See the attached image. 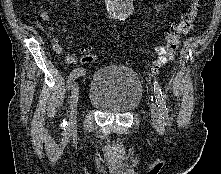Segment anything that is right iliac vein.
<instances>
[{"instance_id": "right-iliac-vein-1", "label": "right iliac vein", "mask_w": 221, "mask_h": 174, "mask_svg": "<svg viewBox=\"0 0 221 174\" xmlns=\"http://www.w3.org/2000/svg\"><path fill=\"white\" fill-rule=\"evenodd\" d=\"M79 84L75 81L71 87L70 110H69V127L74 128L76 125V111L78 103Z\"/></svg>"}]
</instances>
